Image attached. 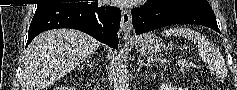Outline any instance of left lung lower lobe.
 <instances>
[{
  "mask_svg": "<svg viewBox=\"0 0 237 90\" xmlns=\"http://www.w3.org/2000/svg\"><path fill=\"white\" fill-rule=\"evenodd\" d=\"M132 22L136 34L179 23L203 25L220 33L212 9L169 3L164 0H150L148 6L132 10Z\"/></svg>",
  "mask_w": 237,
  "mask_h": 90,
  "instance_id": "0a47b994",
  "label": "left lung lower lobe"
}]
</instances>
